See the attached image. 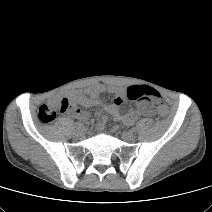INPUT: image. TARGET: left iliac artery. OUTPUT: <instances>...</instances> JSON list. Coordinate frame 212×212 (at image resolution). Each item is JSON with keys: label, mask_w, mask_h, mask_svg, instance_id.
Wrapping results in <instances>:
<instances>
[{"label": "left iliac artery", "mask_w": 212, "mask_h": 212, "mask_svg": "<svg viewBox=\"0 0 212 212\" xmlns=\"http://www.w3.org/2000/svg\"><path fill=\"white\" fill-rule=\"evenodd\" d=\"M133 131H134V132H136V131H137V128H136V127H134V128H133Z\"/></svg>", "instance_id": "obj_1"}]
</instances>
